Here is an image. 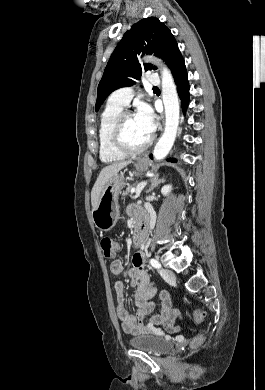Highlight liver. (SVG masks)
Instances as JSON below:
<instances>
[{
	"instance_id": "obj_1",
	"label": "liver",
	"mask_w": 265,
	"mask_h": 390,
	"mask_svg": "<svg viewBox=\"0 0 265 390\" xmlns=\"http://www.w3.org/2000/svg\"><path fill=\"white\" fill-rule=\"evenodd\" d=\"M131 161L116 162L104 167L92 188L91 191V205L93 210L98 206L99 198L104 186L109 180L115 176L120 170L129 165Z\"/></svg>"
}]
</instances>
